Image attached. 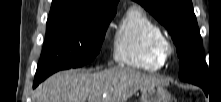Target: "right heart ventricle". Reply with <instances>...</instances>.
I'll list each match as a JSON object with an SVG mask.
<instances>
[{
	"instance_id": "e07e8e85",
	"label": "right heart ventricle",
	"mask_w": 221,
	"mask_h": 102,
	"mask_svg": "<svg viewBox=\"0 0 221 102\" xmlns=\"http://www.w3.org/2000/svg\"><path fill=\"white\" fill-rule=\"evenodd\" d=\"M161 27L138 6L129 7L117 23L112 42L115 62L147 71L159 70L163 59L155 46L164 39Z\"/></svg>"
}]
</instances>
